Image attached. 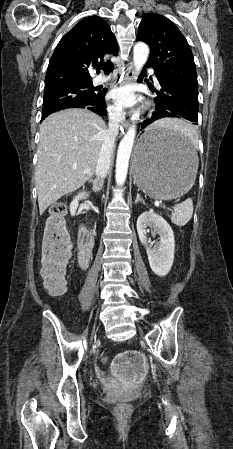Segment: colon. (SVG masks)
<instances>
[{
	"mask_svg": "<svg viewBox=\"0 0 233 449\" xmlns=\"http://www.w3.org/2000/svg\"><path fill=\"white\" fill-rule=\"evenodd\" d=\"M66 206L56 202L50 207V214L41 241V276L49 291L62 295L66 290V267L70 259L71 242L66 228ZM125 405L117 407L118 412L125 411Z\"/></svg>",
	"mask_w": 233,
	"mask_h": 449,
	"instance_id": "1",
	"label": "colon"
}]
</instances>
